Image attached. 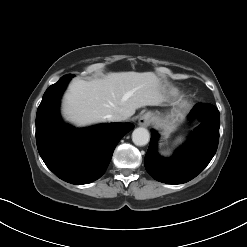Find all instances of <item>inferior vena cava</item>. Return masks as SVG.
I'll use <instances>...</instances> for the list:
<instances>
[{"label": "inferior vena cava", "instance_id": "inferior-vena-cava-1", "mask_svg": "<svg viewBox=\"0 0 247 247\" xmlns=\"http://www.w3.org/2000/svg\"><path fill=\"white\" fill-rule=\"evenodd\" d=\"M125 119H127V116L119 113L107 115V120L112 122H119Z\"/></svg>", "mask_w": 247, "mask_h": 247}]
</instances>
